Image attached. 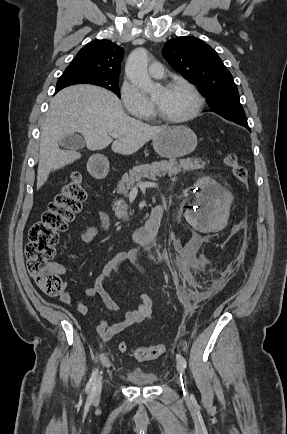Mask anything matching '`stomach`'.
Listing matches in <instances>:
<instances>
[{"instance_id": "0dacf381", "label": "stomach", "mask_w": 287, "mask_h": 434, "mask_svg": "<svg viewBox=\"0 0 287 434\" xmlns=\"http://www.w3.org/2000/svg\"><path fill=\"white\" fill-rule=\"evenodd\" d=\"M196 134L186 126L167 127L162 133L153 138V148L164 158L176 159L193 152L197 146ZM104 159L100 155L95 156Z\"/></svg>"}]
</instances>
